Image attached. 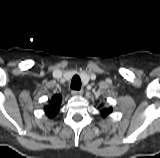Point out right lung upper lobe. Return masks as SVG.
Here are the masks:
<instances>
[{"label": "right lung upper lobe", "mask_w": 160, "mask_h": 158, "mask_svg": "<svg viewBox=\"0 0 160 158\" xmlns=\"http://www.w3.org/2000/svg\"><path fill=\"white\" fill-rule=\"evenodd\" d=\"M61 103V95H54L49 102V105L45 106L44 110L49 118H53L59 111Z\"/></svg>", "instance_id": "obj_1"}]
</instances>
